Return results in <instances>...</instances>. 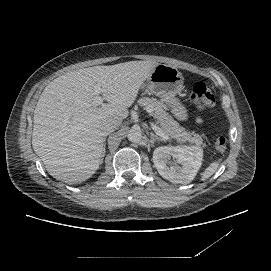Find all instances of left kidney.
<instances>
[{
  "mask_svg": "<svg viewBox=\"0 0 271 271\" xmlns=\"http://www.w3.org/2000/svg\"><path fill=\"white\" fill-rule=\"evenodd\" d=\"M201 159L200 147H158L153 152L158 173L173 184L190 183L200 168ZM172 165L174 167L170 168Z\"/></svg>",
  "mask_w": 271,
  "mask_h": 271,
  "instance_id": "obj_1",
  "label": "left kidney"
}]
</instances>
